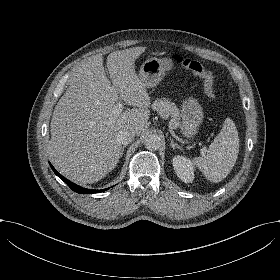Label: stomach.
Masks as SVG:
<instances>
[{"label": "stomach", "instance_id": "obj_1", "mask_svg": "<svg viewBox=\"0 0 280 280\" xmlns=\"http://www.w3.org/2000/svg\"><path fill=\"white\" fill-rule=\"evenodd\" d=\"M172 66L169 58L159 59L152 57L147 59L140 67L138 77L146 88H152L159 84L165 72ZM203 121V109L196 99L189 97L182 104L181 129L185 136L192 137Z\"/></svg>", "mask_w": 280, "mask_h": 280}]
</instances>
